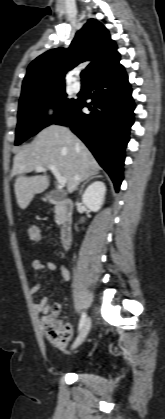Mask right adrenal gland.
Instances as JSON below:
<instances>
[{"instance_id":"obj_1","label":"right adrenal gland","mask_w":165,"mask_h":419,"mask_svg":"<svg viewBox=\"0 0 165 419\" xmlns=\"http://www.w3.org/2000/svg\"><path fill=\"white\" fill-rule=\"evenodd\" d=\"M98 177H100V175H94V176L90 177L89 179H87V180H86V181L82 184V186H81V190H80V193H82L83 188H84V186H85V184H86V183H88L90 180H92V179H94V178H98Z\"/></svg>"}]
</instances>
